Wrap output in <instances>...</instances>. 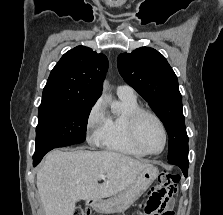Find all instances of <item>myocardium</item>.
<instances>
[{"instance_id":"myocardium-1","label":"myocardium","mask_w":223,"mask_h":215,"mask_svg":"<svg viewBox=\"0 0 223 215\" xmlns=\"http://www.w3.org/2000/svg\"><path fill=\"white\" fill-rule=\"evenodd\" d=\"M144 117H150L151 119H153L158 124V126L161 130L162 146L157 152H144L139 147L137 132H138V126ZM129 136H130V140H131L132 144L138 150V152L140 153L141 156L160 155L166 146L167 135H166V130H165V127H164L162 121L159 119L158 116H156L152 112H149L144 109H140L132 115L130 122H129Z\"/></svg>"}]
</instances>
